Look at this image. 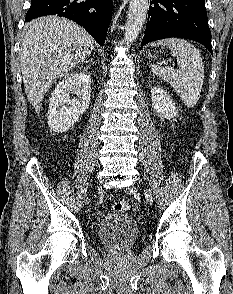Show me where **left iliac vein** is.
Instances as JSON below:
<instances>
[{"instance_id": "left-iliac-vein-1", "label": "left iliac vein", "mask_w": 233, "mask_h": 294, "mask_svg": "<svg viewBox=\"0 0 233 294\" xmlns=\"http://www.w3.org/2000/svg\"><path fill=\"white\" fill-rule=\"evenodd\" d=\"M127 190H130V188H127ZM136 192H137V190H136Z\"/></svg>"}]
</instances>
